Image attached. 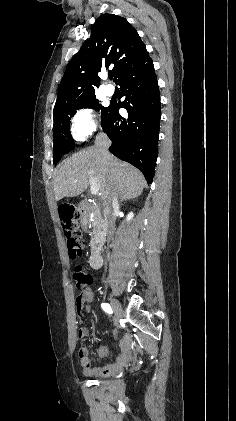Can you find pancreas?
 <instances>
[{"instance_id": "1", "label": "pancreas", "mask_w": 236, "mask_h": 421, "mask_svg": "<svg viewBox=\"0 0 236 421\" xmlns=\"http://www.w3.org/2000/svg\"><path fill=\"white\" fill-rule=\"evenodd\" d=\"M87 215L91 219V227H93L89 247L91 253H96L104 239L105 233H107L104 211L98 204H93L92 202V204H88Z\"/></svg>"}]
</instances>
